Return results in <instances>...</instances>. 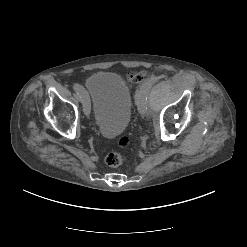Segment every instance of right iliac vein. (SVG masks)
Returning a JSON list of instances; mask_svg holds the SVG:
<instances>
[{"label": "right iliac vein", "instance_id": "right-iliac-vein-1", "mask_svg": "<svg viewBox=\"0 0 247 247\" xmlns=\"http://www.w3.org/2000/svg\"><path fill=\"white\" fill-rule=\"evenodd\" d=\"M79 95V94H78ZM78 99L79 101L82 103L83 105V112L86 116H88L90 114V100H89V97L87 96V98H79L78 96Z\"/></svg>", "mask_w": 247, "mask_h": 247}]
</instances>
